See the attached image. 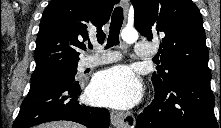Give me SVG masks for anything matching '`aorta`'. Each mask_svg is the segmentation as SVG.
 Returning <instances> with one entry per match:
<instances>
[{
    "instance_id": "1",
    "label": "aorta",
    "mask_w": 221,
    "mask_h": 128,
    "mask_svg": "<svg viewBox=\"0 0 221 128\" xmlns=\"http://www.w3.org/2000/svg\"><path fill=\"white\" fill-rule=\"evenodd\" d=\"M121 38L126 43H135L138 40V32L134 28L126 27L121 32Z\"/></svg>"
}]
</instances>
